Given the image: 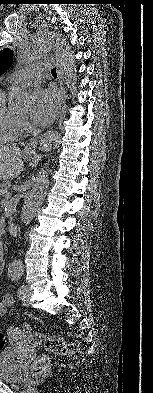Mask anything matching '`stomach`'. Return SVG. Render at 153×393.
I'll return each mask as SVG.
<instances>
[{
  "label": "stomach",
  "instance_id": "1",
  "mask_svg": "<svg viewBox=\"0 0 153 393\" xmlns=\"http://www.w3.org/2000/svg\"><path fill=\"white\" fill-rule=\"evenodd\" d=\"M34 152H29V151H25V157L27 158V159H32V157L34 156Z\"/></svg>",
  "mask_w": 153,
  "mask_h": 393
}]
</instances>
